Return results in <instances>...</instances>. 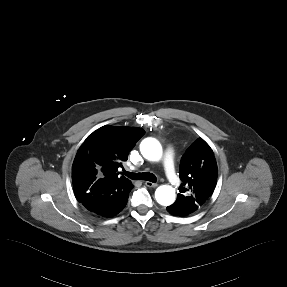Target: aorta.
Instances as JSON below:
<instances>
[{"label":"aorta","mask_w":287,"mask_h":287,"mask_svg":"<svg viewBox=\"0 0 287 287\" xmlns=\"http://www.w3.org/2000/svg\"><path fill=\"white\" fill-rule=\"evenodd\" d=\"M143 157L149 161H159L162 157V146L155 138H146L140 144ZM155 199L162 206H169L176 199L175 189L169 185H161L155 191Z\"/></svg>","instance_id":"aorta-1"}]
</instances>
